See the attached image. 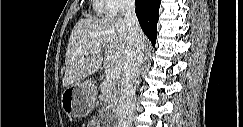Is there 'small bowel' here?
<instances>
[{
	"label": "small bowel",
	"instance_id": "1",
	"mask_svg": "<svg viewBox=\"0 0 243 127\" xmlns=\"http://www.w3.org/2000/svg\"><path fill=\"white\" fill-rule=\"evenodd\" d=\"M88 126L89 127H99V124L97 121H91V122H89Z\"/></svg>",
	"mask_w": 243,
	"mask_h": 127
}]
</instances>
